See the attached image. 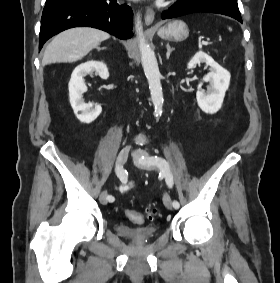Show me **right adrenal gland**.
I'll use <instances>...</instances> for the list:
<instances>
[{"instance_id": "1", "label": "right adrenal gland", "mask_w": 280, "mask_h": 283, "mask_svg": "<svg viewBox=\"0 0 280 283\" xmlns=\"http://www.w3.org/2000/svg\"><path fill=\"white\" fill-rule=\"evenodd\" d=\"M104 49H107V47H102V48H99V50H104Z\"/></svg>"}]
</instances>
